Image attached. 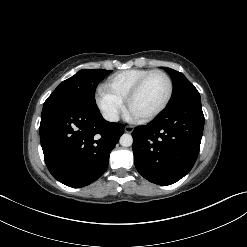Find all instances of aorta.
I'll return each mask as SVG.
<instances>
[{
	"instance_id": "aorta-1",
	"label": "aorta",
	"mask_w": 247,
	"mask_h": 247,
	"mask_svg": "<svg viewBox=\"0 0 247 247\" xmlns=\"http://www.w3.org/2000/svg\"><path fill=\"white\" fill-rule=\"evenodd\" d=\"M120 145L123 146V147H129L133 144V138L130 134H123L121 137H120Z\"/></svg>"
}]
</instances>
